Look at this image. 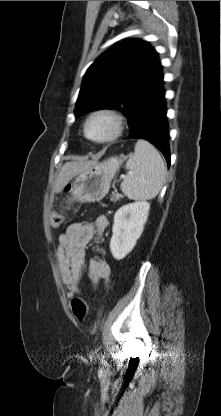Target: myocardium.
<instances>
[{
    "label": "myocardium",
    "mask_w": 221,
    "mask_h": 416,
    "mask_svg": "<svg viewBox=\"0 0 221 416\" xmlns=\"http://www.w3.org/2000/svg\"><path fill=\"white\" fill-rule=\"evenodd\" d=\"M96 118H106L111 123V129L109 133L103 137H93L89 134V125ZM123 125V117L119 112L111 108H101L91 112L87 116L83 126V133L85 138H87L89 141L93 143L103 144L118 138L122 133Z\"/></svg>",
    "instance_id": "obj_1"
}]
</instances>
